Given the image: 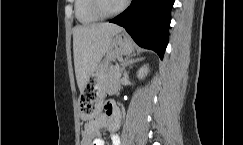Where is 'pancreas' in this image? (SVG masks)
<instances>
[{
  "instance_id": "cf45deb5",
  "label": "pancreas",
  "mask_w": 243,
  "mask_h": 145,
  "mask_svg": "<svg viewBox=\"0 0 243 145\" xmlns=\"http://www.w3.org/2000/svg\"><path fill=\"white\" fill-rule=\"evenodd\" d=\"M118 75H119V71L117 69L112 67L109 68L108 76L114 89H116L119 85L120 77Z\"/></svg>"
}]
</instances>
